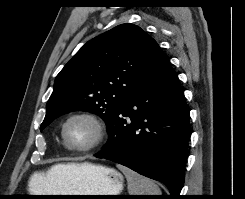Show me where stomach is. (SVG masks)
Listing matches in <instances>:
<instances>
[{
    "label": "stomach",
    "instance_id": "obj_1",
    "mask_svg": "<svg viewBox=\"0 0 245 199\" xmlns=\"http://www.w3.org/2000/svg\"><path fill=\"white\" fill-rule=\"evenodd\" d=\"M123 176L112 168L84 163L63 183V190L49 195H119L123 190ZM55 199H101L100 196H76Z\"/></svg>",
    "mask_w": 245,
    "mask_h": 199
}]
</instances>
